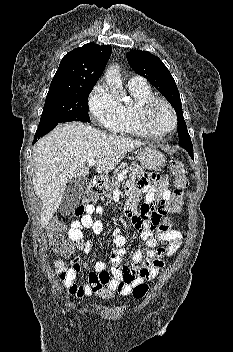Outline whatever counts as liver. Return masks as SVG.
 <instances>
[{
  "label": "liver",
  "mask_w": 233,
  "mask_h": 352,
  "mask_svg": "<svg viewBox=\"0 0 233 352\" xmlns=\"http://www.w3.org/2000/svg\"><path fill=\"white\" fill-rule=\"evenodd\" d=\"M143 145L140 141L106 134L81 122L58 125L38 142L33 153L32 182L43 205L41 225L47 226L57 211L69 179H80L89 173V159H97L98 173H108L128 152Z\"/></svg>",
  "instance_id": "1"
}]
</instances>
